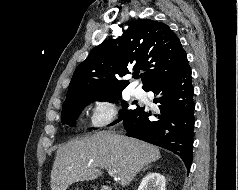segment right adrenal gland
I'll use <instances>...</instances> for the list:
<instances>
[{
  "mask_svg": "<svg viewBox=\"0 0 238 190\" xmlns=\"http://www.w3.org/2000/svg\"><path fill=\"white\" fill-rule=\"evenodd\" d=\"M146 169H148V166H147V167H145V168L143 169V171H145Z\"/></svg>",
  "mask_w": 238,
  "mask_h": 190,
  "instance_id": "1",
  "label": "right adrenal gland"
}]
</instances>
